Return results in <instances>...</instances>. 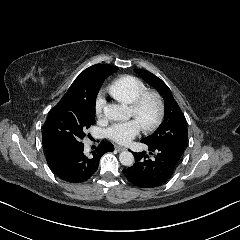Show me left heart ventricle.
Masks as SVG:
<instances>
[{"label":"left heart ventricle","mask_w":240,"mask_h":240,"mask_svg":"<svg viewBox=\"0 0 240 240\" xmlns=\"http://www.w3.org/2000/svg\"><path fill=\"white\" fill-rule=\"evenodd\" d=\"M157 115V106L152 99H147L139 112L137 113L135 120L140 124V126L150 125L156 118ZM130 117H133L132 112L130 111ZM129 117V118H130Z\"/></svg>","instance_id":"left-heart-ventricle-1"}]
</instances>
